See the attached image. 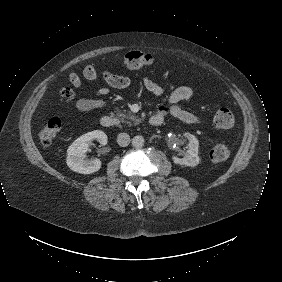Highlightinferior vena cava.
<instances>
[{
  "label": "inferior vena cava",
  "instance_id": "602c4592",
  "mask_svg": "<svg viewBox=\"0 0 282 282\" xmlns=\"http://www.w3.org/2000/svg\"><path fill=\"white\" fill-rule=\"evenodd\" d=\"M117 143L118 145L125 147L130 143V136L127 133H120L117 136Z\"/></svg>",
  "mask_w": 282,
  "mask_h": 282
}]
</instances>
